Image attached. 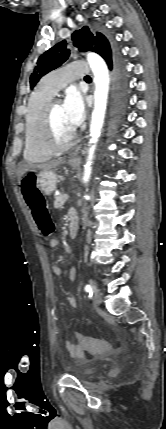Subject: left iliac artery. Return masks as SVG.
Returning a JSON list of instances; mask_svg holds the SVG:
<instances>
[{
    "mask_svg": "<svg viewBox=\"0 0 166 429\" xmlns=\"http://www.w3.org/2000/svg\"><path fill=\"white\" fill-rule=\"evenodd\" d=\"M85 291L88 292V293H90V295H92L93 291H94V288L91 285L88 284V285L85 286Z\"/></svg>",
    "mask_w": 166,
    "mask_h": 429,
    "instance_id": "1",
    "label": "left iliac artery"
}]
</instances>
